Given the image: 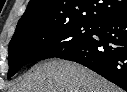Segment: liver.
<instances>
[{
  "label": "liver",
  "mask_w": 127,
  "mask_h": 92,
  "mask_svg": "<svg viewBox=\"0 0 127 92\" xmlns=\"http://www.w3.org/2000/svg\"><path fill=\"white\" fill-rule=\"evenodd\" d=\"M10 92H122L97 73L71 61L35 65Z\"/></svg>",
  "instance_id": "1"
}]
</instances>
